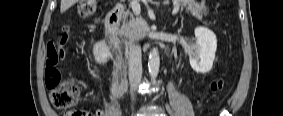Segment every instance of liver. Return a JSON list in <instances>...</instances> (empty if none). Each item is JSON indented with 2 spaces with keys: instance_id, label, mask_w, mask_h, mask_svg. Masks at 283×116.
Returning a JSON list of instances; mask_svg holds the SVG:
<instances>
[{
  "instance_id": "liver-1",
  "label": "liver",
  "mask_w": 283,
  "mask_h": 116,
  "mask_svg": "<svg viewBox=\"0 0 283 116\" xmlns=\"http://www.w3.org/2000/svg\"><path fill=\"white\" fill-rule=\"evenodd\" d=\"M78 0H61V7L60 11L61 13L68 10L71 6H73Z\"/></svg>"
}]
</instances>
